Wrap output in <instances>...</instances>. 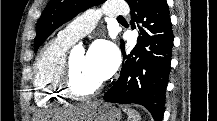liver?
Listing matches in <instances>:
<instances>
[{"instance_id":"liver-1","label":"liver","mask_w":217,"mask_h":121,"mask_svg":"<svg viewBox=\"0 0 217 121\" xmlns=\"http://www.w3.org/2000/svg\"><path fill=\"white\" fill-rule=\"evenodd\" d=\"M96 105L97 103H92L80 108L73 107L59 114L65 119H71V121H88L87 119Z\"/></svg>"}]
</instances>
